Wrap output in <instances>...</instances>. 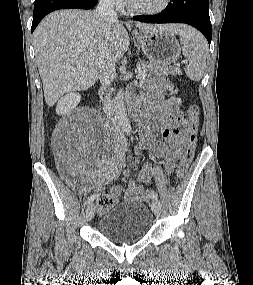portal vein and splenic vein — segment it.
Returning a JSON list of instances; mask_svg holds the SVG:
<instances>
[{
	"label": "portal vein and splenic vein",
	"instance_id": "portal-vein-and-splenic-vein-1",
	"mask_svg": "<svg viewBox=\"0 0 253 285\" xmlns=\"http://www.w3.org/2000/svg\"><path fill=\"white\" fill-rule=\"evenodd\" d=\"M147 76L146 72L141 71V69H138V74H137V78H145Z\"/></svg>",
	"mask_w": 253,
	"mask_h": 285
}]
</instances>
